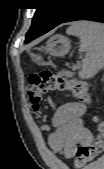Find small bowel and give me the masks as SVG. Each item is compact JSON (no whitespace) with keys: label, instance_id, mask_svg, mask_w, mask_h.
Returning <instances> with one entry per match:
<instances>
[{"label":"small bowel","instance_id":"small-bowel-1","mask_svg":"<svg viewBox=\"0 0 104 169\" xmlns=\"http://www.w3.org/2000/svg\"><path fill=\"white\" fill-rule=\"evenodd\" d=\"M85 106L78 102H67L60 106L52 119L55 130L49 135L52 150L72 158L78 145L89 144L93 133L85 126Z\"/></svg>","mask_w":104,"mask_h":169}]
</instances>
